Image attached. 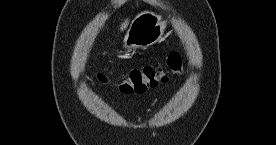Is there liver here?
<instances>
[{"label":"liver","mask_w":276,"mask_h":145,"mask_svg":"<svg viewBox=\"0 0 276 145\" xmlns=\"http://www.w3.org/2000/svg\"><path fill=\"white\" fill-rule=\"evenodd\" d=\"M128 25H129V20L127 19L121 24L120 31H124Z\"/></svg>","instance_id":"liver-1"}]
</instances>
